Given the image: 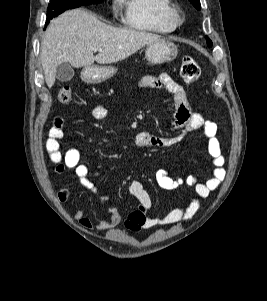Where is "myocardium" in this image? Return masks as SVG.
Here are the masks:
<instances>
[{"label":"myocardium","mask_w":267,"mask_h":301,"mask_svg":"<svg viewBox=\"0 0 267 301\" xmlns=\"http://www.w3.org/2000/svg\"><path fill=\"white\" fill-rule=\"evenodd\" d=\"M172 12H173V15H174V18H175L176 22L178 23L180 21V10H179V8L173 6L172 7Z\"/></svg>","instance_id":"obj_1"}]
</instances>
